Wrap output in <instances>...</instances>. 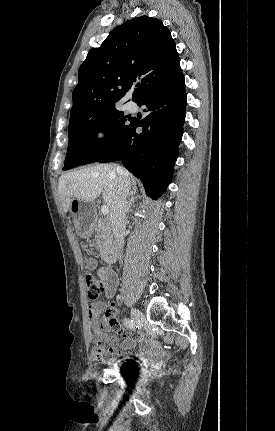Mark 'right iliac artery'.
<instances>
[{
    "label": "right iliac artery",
    "mask_w": 275,
    "mask_h": 431,
    "mask_svg": "<svg viewBox=\"0 0 275 431\" xmlns=\"http://www.w3.org/2000/svg\"><path fill=\"white\" fill-rule=\"evenodd\" d=\"M124 323L130 328L133 329L135 324L133 323V320L125 319Z\"/></svg>",
    "instance_id": "82829eb1"
}]
</instances>
